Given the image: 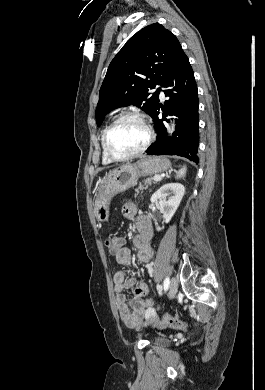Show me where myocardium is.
Segmentation results:
<instances>
[{
    "mask_svg": "<svg viewBox=\"0 0 265 390\" xmlns=\"http://www.w3.org/2000/svg\"><path fill=\"white\" fill-rule=\"evenodd\" d=\"M125 119H134V120L139 121L144 126V128L146 130L147 137H146L144 144L136 151H134L130 154L124 155V156H118V155L114 154L109 147V136H110L111 131L114 129V127L118 123H120L121 121H123ZM153 139H154V132H153V129H152L151 125L149 124L148 120L146 119V117L138 112L126 111V112H123L120 115H118L106 128L104 135H103V147H104V151H105L106 155L112 161L122 162V161L130 160V159L137 157V156L141 155L142 153H144L151 145Z\"/></svg>",
    "mask_w": 265,
    "mask_h": 390,
    "instance_id": "f54148a6",
    "label": "myocardium"
}]
</instances>
